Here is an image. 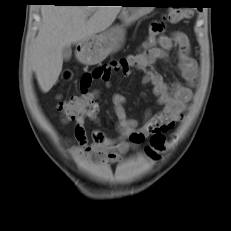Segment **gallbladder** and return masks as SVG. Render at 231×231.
Masks as SVG:
<instances>
[{
  "instance_id": "obj_1",
  "label": "gallbladder",
  "mask_w": 231,
  "mask_h": 231,
  "mask_svg": "<svg viewBox=\"0 0 231 231\" xmlns=\"http://www.w3.org/2000/svg\"><path fill=\"white\" fill-rule=\"evenodd\" d=\"M72 56V49L70 45H66L62 50V57L65 61H68Z\"/></svg>"
}]
</instances>
